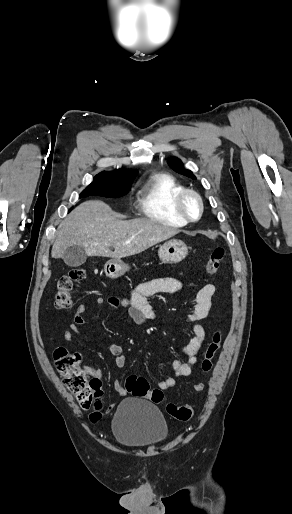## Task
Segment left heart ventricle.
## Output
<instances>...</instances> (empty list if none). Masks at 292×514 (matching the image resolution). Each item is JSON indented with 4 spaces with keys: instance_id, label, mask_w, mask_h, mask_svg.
Wrapping results in <instances>:
<instances>
[{
    "instance_id": "obj_1",
    "label": "left heart ventricle",
    "mask_w": 292,
    "mask_h": 514,
    "mask_svg": "<svg viewBox=\"0 0 292 514\" xmlns=\"http://www.w3.org/2000/svg\"><path fill=\"white\" fill-rule=\"evenodd\" d=\"M183 208H184V211L192 218H195L198 214L197 202L192 197L185 198V200L183 202Z\"/></svg>"
}]
</instances>
